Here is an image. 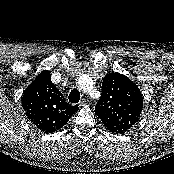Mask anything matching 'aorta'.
Segmentation results:
<instances>
[{"label": "aorta", "instance_id": "aorta-1", "mask_svg": "<svg viewBox=\"0 0 174 174\" xmlns=\"http://www.w3.org/2000/svg\"><path fill=\"white\" fill-rule=\"evenodd\" d=\"M80 85L83 87V84H82V82H80Z\"/></svg>", "mask_w": 174, "mask_h": 174}]
</instances>
